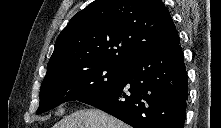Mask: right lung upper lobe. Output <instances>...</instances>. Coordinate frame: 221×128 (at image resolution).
Here are the masks:
<instances>
[{"label":"right lung upper lobe","mask_w":221,"mask_h":128,"mask_svg":"<svg viewBox=\"0 0 221 128\" xmlns=\"http://www.w3.org/2000/svg\"><path fill=\"white\" fill-rule=\"evenodd\" d=\"M179 43L161 0H95L59 34L47 73L71 64L128 66Z\"/></svg>","instance_id":"1"}]
</instances>
